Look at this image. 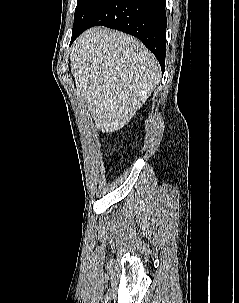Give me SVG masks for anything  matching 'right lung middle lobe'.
<instances>
[{"label":"right lung middle lobe","instance_id":"1","mask_svg":"<svg viewBox=\"0 0 239 303\" xmlns=\"http://www.w3.org/2000/svg\"><path fill=\"white\" fill-rule=\"evenodd\" d=\"M106 0H78L74 15L72 35L80 31Z\"/></svg>","mask_w":239,"mask_h":303}]
</instances>
